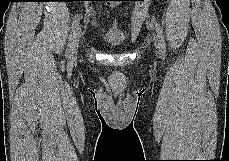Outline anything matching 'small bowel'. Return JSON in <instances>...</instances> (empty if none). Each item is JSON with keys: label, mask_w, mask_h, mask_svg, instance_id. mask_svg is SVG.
I'll return each instance as SVG.
<instances>
[{"label": "small bowel", "mask_w": 229, "mask_h": 161, "mask_svg": "<svg viewBox=\"0 0 229 161\" xmlns=\"http://www.w3.org/2000/svg\"><path fill=\"white\" fill-rule=\"evenodd\" d=\"M107 3L111 5L112 3H114V1H107Z\"/></svg>", "instance_id": "obj_1"}]
</instances>
